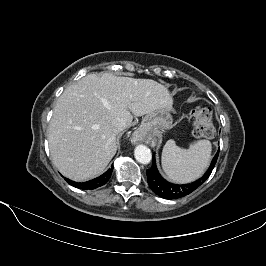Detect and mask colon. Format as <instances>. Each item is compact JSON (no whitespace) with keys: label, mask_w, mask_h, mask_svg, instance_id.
Segmentation results:
<instances>
[{"label":"colon","mask_w":266,"mask_h":266,"mask_svg":"<svg viewBox=\"0 0 266 266\" xmlns=\"http://www.w3.org/2000/svg\"><path fill=\"white\" fill-rule=\"evenodd\" d=\"M194 120L193 133L198 138H212L215 135V127L212 112L209 108L199 106L191 111Z\"/></svg>","instance_id":"5ec220e1"}]
</instances>
